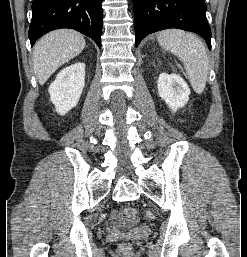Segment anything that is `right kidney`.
Wrapping results in <instances>:
<instances>
[{
    "label": "right kidney",
    "instance_id": "obj_1",
    "mask_svg": "<svg viewBox=\"0 0 247 257\" xmlns=\"http://www.w3.org/2000/svg\"><path fill=\"white\" fill-rule=\"evenodd\" d=\"M85 85V64L78 62L62 69L49 86L50 100L56 111L65 115L74 108Z\"/></svg>",
    "mask_w": 247,
    "mask_h": 257
}]
</instances>
